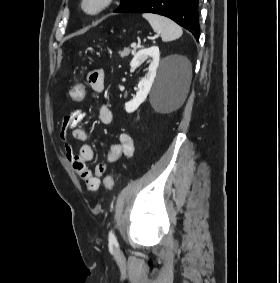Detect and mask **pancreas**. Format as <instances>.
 Wrapping results in <instances>:
<instances>
[{"mask_svg":"<svg viewBox=\"0 0 280 283\" xmlns=\"http://www.w3.org/2000/svg\"><path fill=\"white\" fill-rule=\"evenodd\" d=\"M130 54V49L129 48H124L122 51H119V55L121 58L127 57Z\"/></svg>","mask_w":280,"mask_h":283,"instance_id":"obj_1","label":"pancreas"}]
</instances>
